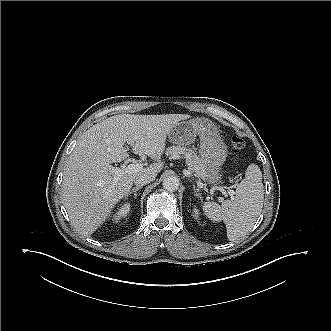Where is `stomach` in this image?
<instances>
[{"label":"stomach","instance_id":"0dacf381","mask_svg":"<svg viewBox=\"0 0 331 331\" xmlns=\"http://www.w3.org/2000/svg\"><path fill=\"white\" fill-rule=\"evenodd\" d=\"M169 139L173 144L178 145L176 147L191 144L195 139L194 122L191 120L179 122L171 130ZM198 154L204 164L202 177L205 183L213 188L220 186L223 182L222 166L228 156V146L219 133L208 131L200 134Z\"/></svg>","mask_w":331,"mask_h":331}]
</instances>
